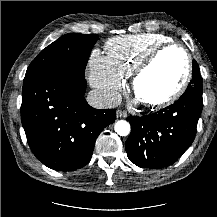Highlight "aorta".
<instances>
[{
    "label": "aorta",
    "instance_id": "obj_1",
    "mask_svg": "<svg viewBox=\"0 0 217 217\" xmlns=\"http://www.w3.org/2000/svg\"><path fill=\"white\" fill-rule=\"evenodd\" d=\"M115 132L120 136H127L130 133V124L125 120H119L115 123Z\"/></svg>",
    "mask_w": 217,
    "mask_h": 217
}]
</instances>
